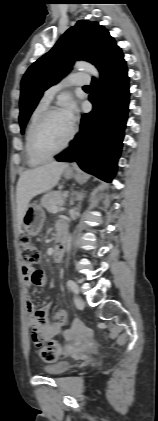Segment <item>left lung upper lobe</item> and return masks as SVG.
<instances>
[{
	"label": "left lung upper lobe",
	"mask_w": 158,
	"mask_h": 421,
	"mask_svg": "<svg viewBox=\"0 0 158 421\" xmlns=\"http://www.w3.org/2000/svg\"><path fill=\"white\" fill-rule=\"evenodd\" d=\"M117 48L108 30L98 22L80 20L68 29L22 79L19 116L22 132L43 92L64 77L75 60L91 62L99 69Z\"/></svg>",
	"instance_id": "obj_1"
}]
</instances>
